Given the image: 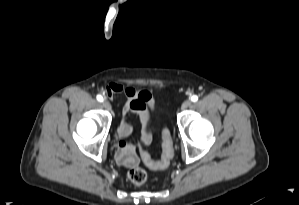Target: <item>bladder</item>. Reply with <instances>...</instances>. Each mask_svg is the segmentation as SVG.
Listing matches in <instances>:
<instances>
[{
	"label": "bladder",
	"instance_id": "31cf9c89",
	"mask_svg": "<svg viewBox=\"0 0 299 205\" xmlns=\"http://www.w3.org/2000/svg\"><path fill=\"white\" fill-rule=\"evenodd\" d=\"M149 129L151 132H154L156 127H157V121H156V116H155V113L153 114L152 118L150 119V122H149Z\"/></svg>",
	"mask_w": 299,
	"mask_h": 205
}]
</instances>
